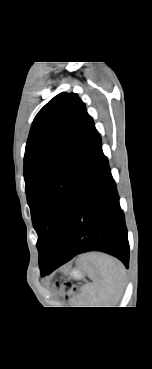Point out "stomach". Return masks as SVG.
<instances>
[{"label":"stomach","instance_id":"obj_1","mask_svg":"<svg viewBox=\"0 0 152 369\" xmlns=\"http://www.w3.org/2000/svg\"><path fill=\"white\" fill-rule=\"evenodd\" d=\"M73 275L77 277V276H79V272L78 271H74L73 272Z\"/></svg>","mask_w":152,"mask_h":369}]
</instances>
